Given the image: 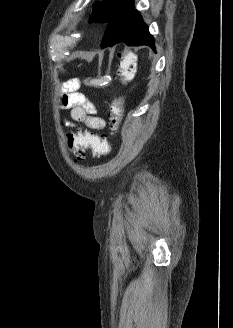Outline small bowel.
<instances>
[{
  "label": "small bowel",
  "mask_w": 233,
  "mask_h": 328,
  "mask_svg": "<svg viewBox=\"0 0 233 328\" xmlns=\"http://www.w3.org/2000/svg\"><path fill=\"white\" fill-rule=\"evenodd\" d=\"M80 83L78 79L67 81L62 87L60 106L71 109V117L77 122L94 129L102 130L106 127L103 118L96 116V106L79 92Z\"/></svg>",
  "instance_id": "obj_1"
}]
</instances>
